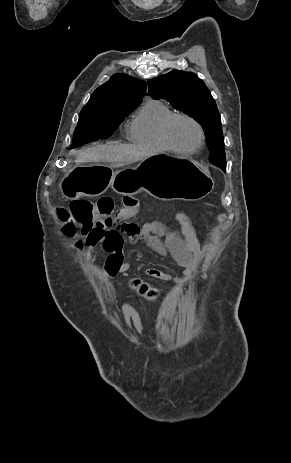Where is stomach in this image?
<instances>
[{"label":"stomach","instance_id":"1","mask_svg":"<svg viewBox=\"0 0 291 463\" xmlns=\"http://www.w3.org/2000/svg\"><path fill=\"white\" fill-rule=\"evenodd\" d=\"M111 187L121 194L145 190L163 200L195 201L214 187L210 174L196 161L179 155L160 153L142 160L135 170L113 172L105 165H86L69 172L61 182L68 199L98 196Z\"/></svg>","mask_w":291,"mask_h":463}]
</instances>
